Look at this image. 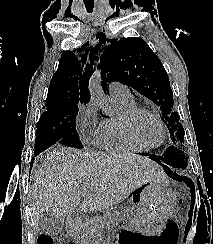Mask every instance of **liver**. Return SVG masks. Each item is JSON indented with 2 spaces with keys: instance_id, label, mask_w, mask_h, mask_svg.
<instances>
[{
  "instance_id": "6515ba94",
  "label": "liver",
  "mask_w": 213,
  "mask_h": 244,
  "mask_svg": "<svg viewBox=\"0 0 213 244\" xmlns=\"http://www.w3.org/2000/svg\"><path fill=\"white\" fill-rule=\"evenodd\" d=\"M162 179L160 167L135 154L90 153L56 147L41 160L32 182L35 225L44 213L70 217L80 205L88 212L126 198L142 184ZM101 222L102 219L97 218Z\"/></svg>"
}]
</instances>
